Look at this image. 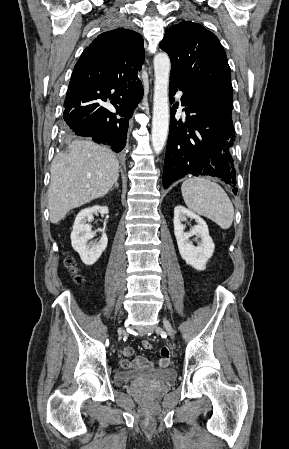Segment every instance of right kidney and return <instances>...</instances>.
<instances>
[{"mask_svg":"<svg viewBox=\"0 0 289 449\" xmlns=\"http://www.w3.org/2000/svg\"><path fill=\"white\" fill-rule=\"evenodd\" d=\"M106 206H93L81 210L74 221L73 230L71 232L72 247L79 253L82 262L86 265H93L102 255L107 247L108 238L105 232L99 242H90L95 235L91 230V226L86 224L93 218V214H108Z\"/></svg>","mask_w":289,"mask_h":449,"instance_id":"right-kidney-1","label":"right kidney"}]
</instances>
